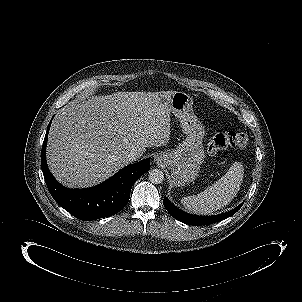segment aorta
Wrapping results in <instances>:
<instances>
[{"label": "aorta", "instance_id": "obj_1", "mask_svg": "<svg viewBox=\"0 0 302 302\" xmlns=\"http://www.w3.org/2000/svg\"><path fill=\"white\" fill-rule=\"evenodd\" d=\"M148 179L153 184H160L164 180V173L160 169H153L149 171Z\"/></svg>", "mask_w": 302, "mask_h": 302}]
</instances>
